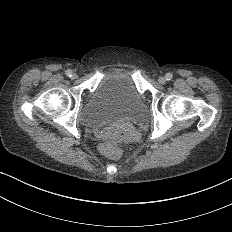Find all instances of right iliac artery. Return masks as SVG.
<instances>
[{"mask_svg": "<svg viewBox=\"0 0 232 232\" xmlns=\"http://www.w3.org/2000/svg\"><path fill=\"white\" fill-rule=\"evenodd\" d=\"M66 75H67L68 77H71V76H72V71H71V70H67V71H66Z\"/></svg>", "mask_w": 232, "mask_h": 232, "instance_id": "1", "label": "right iliac artery"}]
</instances>
